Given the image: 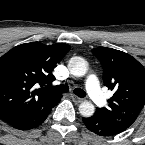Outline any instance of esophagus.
<instances>
[{
	"label": "esophagus",
	"instance_id": "1",
	"mask_svg": "<svg viewBox=\"0 0 145 145\" xmlns=\"http://www.w3.org/2000/svg\"><path fill=\"white\" fill-rule=\"evenodd\" d=\"M72 99H73V101H74L76 104H79V103H81V102L84 101V99L79 98V97H77V96H75V95H72Z\"/></svg>",
	"mask_w": 145,
	"mask_h": 145
}]
</instances>
